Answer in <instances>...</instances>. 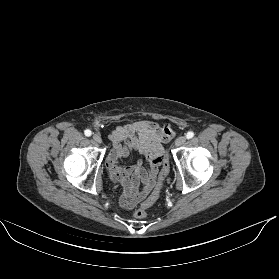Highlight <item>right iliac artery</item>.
I'll use <instances>...</instances> for the list:
<instances>
[{
  "label": "right iliac artery",
  "mask_w": 279,
  "mask_h": 279,
  "mask_svg": "<svg viewBox=\"0 0 279 279\" xmlns=\"http://www.w3.org/2000/svg\"><path fill=\"white\" fill-rule=\"evenodd\" d=\"M84 134H85V136L89 137V136H91L92 132L89 129H87L84 131Z\"/></svg>",
  "instance_id": "1"
}]
</instances>
